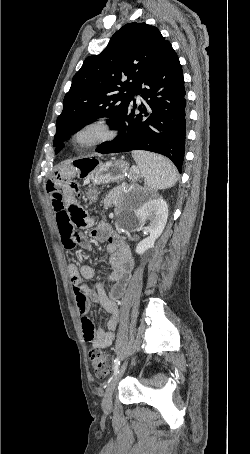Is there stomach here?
<instances>
[{"instance_id":"obj_1","label":"stomach","mask_w":250,"mask_h":454,"mask_svg":"<svg viewBox=\"0 0 250 454\" xmlns=\"http://www.w3.org/2000/svg\"><path fill=\"white\" fill-rule=\"evenodd\" d=\"M128 163L114 159L106 162H101L95 158L81 159L76 166L78 177L94 184H105L110 182H117L124 178V174L128 172ZM142 177L138 169H131L130 179L137 181Z\"/></svg>"}]
</instances>
